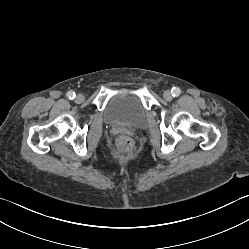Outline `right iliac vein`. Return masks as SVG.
<instances>
[{
    "instance_id": "right-iliac-vein-1",
    "label": "right iliac vein",
    "mask_w": 249,
    "mask_h": 249,
    "mask_svg": "<svg viewBox=\"0 0 249 249\" xmlns=\"http://www.w3.org/2000/svg\"><path fill=\"white\" fill-rule=\"evenodd\" d=\"M77 103H81L84 101V96L82 94H78L75 98Z\"/></svg>"
}]
</instances>
